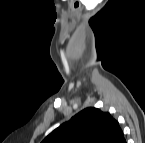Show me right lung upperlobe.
I'll return each mask as SVG.
<instances>
[{
	"instance_id": "right-lung-upper-lobe-1",
	"label": "right lung upper lobe",
	"mask_w": 145,
	"mask_h": 143,
	"mask_svg": "<svg viewBox=\"0 0 145 143\" xmlns=\"http://www.w3.org/2000/svg\"><path fill=\"white\" fill-rule=\"evenodd\" d=\"M42 143H126L118 122L107 112L86 108L51 132Z\"/></svg>"
}]
</instances>
